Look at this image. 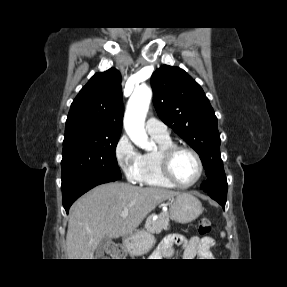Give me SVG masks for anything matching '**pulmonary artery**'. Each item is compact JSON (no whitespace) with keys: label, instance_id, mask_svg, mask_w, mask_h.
<instances>
[{"label":"pulmonary artery","instance_id":"obj_1","mask_svg":"<svg viewBox=\"0 0 287 287\" xmlns=\"http://www.w3.org/2000/svg\"><path fill=\"white\" fill-rule=\"evenodd\" d=\"M147 132L154 137L168 138L169 131L166 124L156 119L155 117H149L145 124Z\"/></svg>","mask_w":287,"mask_h":287}]
</instances>
